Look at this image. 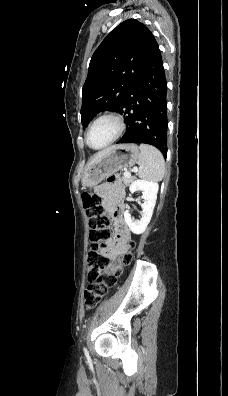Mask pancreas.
<instances>
[{
  "label": "pancreas",
  "instance_id": "cf45deb5",
  "mask_svg": "<svg viewBox=\"0 0 228 396\" xmlns=\"http://www.w3.org/2000/svg\"><path fill=\"white\" fill-rule=\"evenodd\" d=\"M122 180H123L124 184L126 186H128L131 182H133L134 177H132L131 175L130 176H126L125 173H124Z\"/></svg>",
  "mask_w": 228,
  "mask_h": 396
}]
</instances>
